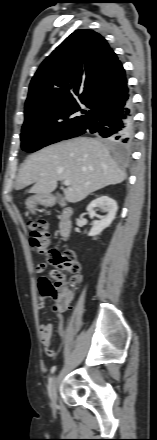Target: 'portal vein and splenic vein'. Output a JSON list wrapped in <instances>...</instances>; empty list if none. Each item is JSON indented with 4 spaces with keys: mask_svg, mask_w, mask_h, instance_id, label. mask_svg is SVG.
<instances>
[{
    "mask_svg": "<svg viewBox=\"0 0 157 440\" xmlns=\"http://www.w3.org/2000/svg\"><path fill=\"white\" fill-rule=\"evenodd\" d=\"M64 185H65V186H70V185H71L70 180H65V181H64Z\"/></svg>",
    "mask_w": 157,
    "mask_h": 440,
    "instance_id": "obj_1",
    "label": "portal vein and splenic vein"
}]
</instances>
